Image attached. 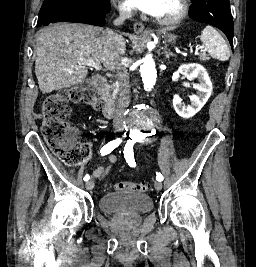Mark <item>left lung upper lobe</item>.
Listing matches in <instances>:
<instances>
[{
	"mask_svg": "<svg viewBox=\"0 0 256 267\" xmlns=\"http://www.w3.org/2000/svg\"><path fill=\"white\" fill-rule=\"evenodd\" d=\"M191 16L200 22L211 24L227 36L233 48V19L229 0H191Z\"/></svg>",
	"mask_w": 256,
	"mask_h": 267,
	"instance_id": "left-lung-upper-lobe-1",
	"label": "left lung upper lobe"
}]
</instances>
